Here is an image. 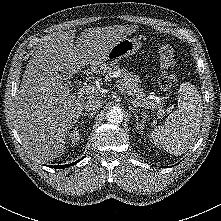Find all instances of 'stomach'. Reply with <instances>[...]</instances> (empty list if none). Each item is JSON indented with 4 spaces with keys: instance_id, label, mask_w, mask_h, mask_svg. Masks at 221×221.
<instances>
[{
    "instance_id": "0dacf381",
    "label": "stomach",
    "mask_w": 221,
    "mask_h": 221,
    "mask_svg": "<svg viewBox=\"0 0 221 221\" xmlns=\"http://www.w3.org/2000/svg\"><path fill=\"white\" fill-rule=\"evenodd\" d=\"M141 46L142 43L136 38H123L98 59L91 69L98 73L109 72L120 60L135 54Z\"/></svg>"
}]
</instances>
